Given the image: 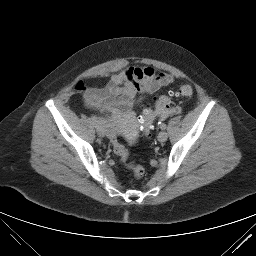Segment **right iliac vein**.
I'll return each mask as SVG.
<instances>
[{
  "mask_svg": "<svg viewBox=\"0 0 256 256\" xmlns=\"http://www.w3.org/2000/svg\"><path fill=\"white\" fill-rule=\"evenodd\" d=\"M97 132L100 137H104L105 131L102 127H97Z\"/></svg>",
  "mask_w": 256,
  "mask_h": 256,
  "instance_id": "63e3f726",
  "label": "right iliac vein"
}]
</instances>
